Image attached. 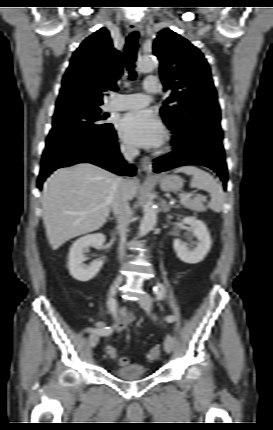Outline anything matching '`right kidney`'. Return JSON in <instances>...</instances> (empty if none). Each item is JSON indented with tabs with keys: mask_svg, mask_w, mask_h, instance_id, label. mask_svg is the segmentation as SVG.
Wrapping results in <instances>:
<instances>
[{
	"mask_svg": "<svg viewBox=\"0 0 273 430\" xmlns=\"http://www.w3.org/2000/svg\"><path fill=\"white\" fill-rule=\"evenodd\" d=\"M104 241L105 236L102 233H96L83 236L73 243L68 256V269L74 279L87 282L98 274L103 265V260L86 265L83 263L84 253L88 251L90 246L101 247Z\"/></svg>",
	"mask_w": 273,
	"mask_h": 430,
	"instance_id": "ca27d5eb",
	"label": "right kidney"
}]
</instances>
